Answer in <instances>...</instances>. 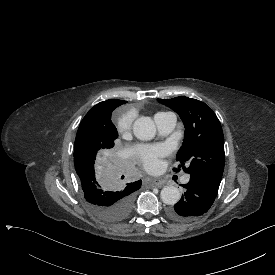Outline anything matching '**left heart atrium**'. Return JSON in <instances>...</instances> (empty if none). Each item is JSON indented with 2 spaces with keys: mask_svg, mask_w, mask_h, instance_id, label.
Here are the masks:
<instances>
[{
  "mask_svg": "<svg viewBox=\"0 0 275 275\" xmlns=\"http://www.w3.org/2000/svg\"><path fill=\"white\" fill-rule=\"evenodd\" d=\"M134 160L147 170H154L159 164V158L166 154L164 145L137 146L130 150Z\"/></svg>",
  "mask_w": 275,
  "mask_h": 275,
  "instance_id": "1",
  "label": "left heart atrium"
}]
</instances>
